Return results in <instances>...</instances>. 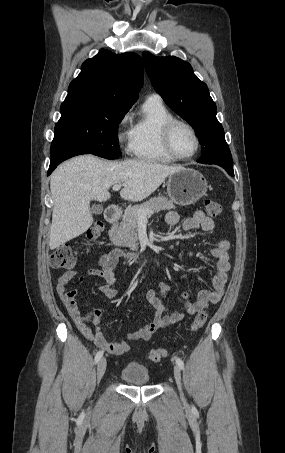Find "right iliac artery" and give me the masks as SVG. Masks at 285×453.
Here are the masks:
<instances>
[{
	"label": "right iliac artery",
	"mask_w": 285,
	"mask_h": 453,
	"mask_svg": "<svg viewBox=\"0 0 285 453\" xmlns=\"http://www.w3.org/2000/svg\"><path fill=\"white\" fill-rule=\"evenodd\" d=\"M102 356H103V351H98L95 356V363H98L99 360L102 358Z\"/></svg>",
	"instance_id": "obj_1"
}]
</instances>
